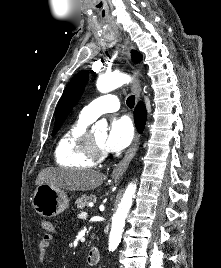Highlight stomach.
<instances>
[{
	"label": "stomach",
	"mask_w": 221,
	"mask_h": 268,
	"mask_svg": "<svg viewBox=\"0 0 221 268\" xmlns=\"http://www.w3.org/2000/svg\"><path fill=\"white\" fill-rule=\"evenodd\" d=\"M32 205L39 215L51 218L68 208L69 199L63 189L41 184L32 195Z\"/></svg>",
	"instance_id": "stomach-1"
}]
</instances>
